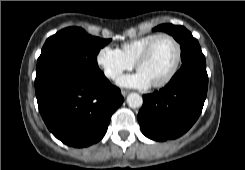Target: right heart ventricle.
<instances>
[{"instance_id": "obj_1", "label": "right heart ventricle", "mask_w": 245, "mask_h": 170, "mask_svg": "<svg viewBox=\"0 0 245 170\" xmlns=\"http://www.w3.org/2000/svg\"><path fill=\"white\" fill-rule=\"evenodd\" d=\"M158 35L159 33H152L128 41L122 45L121 51L132 63H134L140 52Z\"/></svg>"}]
</instances>
